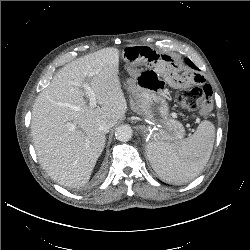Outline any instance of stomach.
Listing matches in <instances>:
<instances>
[{
	"mask_svg": "<svg viewBox=\"0 0 250 250\" xmlns=\"http://www.w3.org/2000/svg\"><path fill=\"white\" fill-rule=\"evenodd\" d=\"M157 53L147 45H127L122 51L127 71L132 77L127 81L132 109L147 120L160 125L153 140L172 141L184 135L182 124L168 110L163 80L150 65L156 61Z\"/></svg>",
	"mask_w": 250,
	"mask_h": 250,
	"instance_id": "stomach-1",
	"label": "stomach"
}]
</instances>
